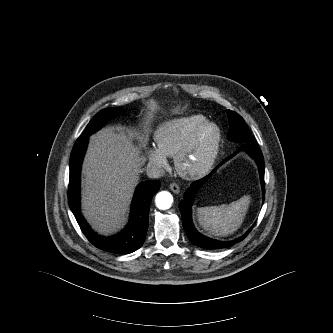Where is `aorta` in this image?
Instances as JSON below:
<instances>
[{
	"mask_svg": "<svg viewBox=\"0 0 333 333\" xmlns=\"http://www.w3.org/2000/svg\"><path fill=\"white\" fill-rule=\"evenodd\" d=\"M156 206L161 210H167L173 203V196L167 191L159 192L155 198Z\"/></svg>",
	"mask_w": 333,
	"mask_h": 333,
	"instance_id": "aorta-1",
	"label": "aorta"
}]
</instances>
